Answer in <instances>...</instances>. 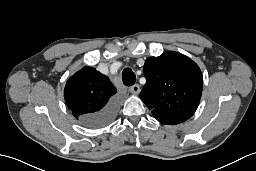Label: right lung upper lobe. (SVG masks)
Masks as SVG:
<instances>
[{
    "mask_svg": "<svg viewBox=\"0 0 256 171\" xmlns=\"http://www.w3.org/2000/svg\"><path fill=\"white\" fill-rule=\"evenodd\" d=\"M116 92L107 76L95 68L84 67L67 81L64 98L76 119L84 121L107 107Z\"/></svg>",
    "mask_w": 256,
    "mask_h": 171,
    "instance_id": "obj_1",
    "label": "right lung upper lobe"
}]
</instances>
